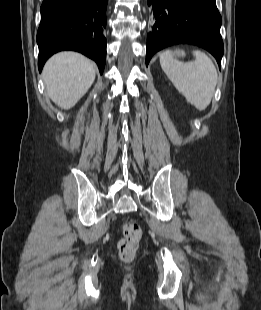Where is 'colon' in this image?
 <instances>
[{
  "label": "colon",
  "mask_w": 261,
  "mask_h": 310,
  "mask_svg": "<svg viewBox=\"0 0 261 310\" xmlns=\"http://www.w3.org/2000/svg\"><path fill=\"white\" fill-rule=\"evenodd\" d=\"M122 238L118 243L119 257L124 261L134 259L142 237L140 225L134 221H127L122 226Z\"/></svg>",
  "instance_id": "1"
}]
</instances>
